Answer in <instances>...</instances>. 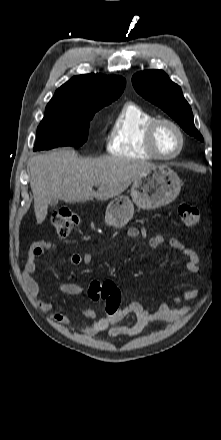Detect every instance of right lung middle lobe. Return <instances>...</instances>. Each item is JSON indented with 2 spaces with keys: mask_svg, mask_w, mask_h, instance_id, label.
<instances>
[{
  "mask_svg": "<svg viewBox=\"0 0 221 440\" xmlns=\"http://www.w3.org/2000/svg\"><path fill=\"white\" fill-rule=\"evenodd\" d=\"M102 107L48 104L37 129V141L33 150L81 146L88 138L90 120Z\"/></svg>",
  "mask_w": 221,
  "mask_h": 440,
  "instance_id": "1",
  "label": "right lung middle lobe"
}]
</instances>
